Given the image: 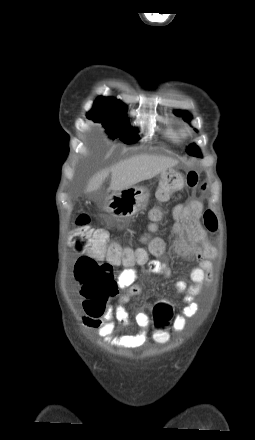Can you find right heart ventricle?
<instances>
[{"instance_id":"obj_1","label":"right heart ventricle","mask_w":255,"mask_h":440,"mask_svg":"<svg viewBox=\"0 0 255 440\" xmlns=\"http://www.w3.org/2000/svg\"><path fill=\"white\" fill-rule=\"evenodd\" d=\"M167 134L174 141H178L183 136V130L181 128L168 127Z\"/></svg>"}]
</instances>
